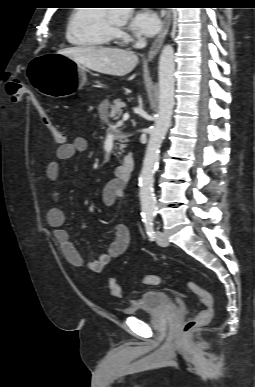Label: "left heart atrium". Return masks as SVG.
<instances>
[{"label":"left heart atrium","mask_w":255,"mask_h":387,"mask_svg":"<svg viewBox=\"0 0 255 387\" xmlns=\"http://www.w3.org/2000/svg\"><path fill=\"white\" fill-rule=\"evenodd\" d=\"M162 23L158 15L149 10L138 11L130 21V28L137 34L145 37L156 35Z\"/></svg>","instance_id":"1"}]
</instances>
